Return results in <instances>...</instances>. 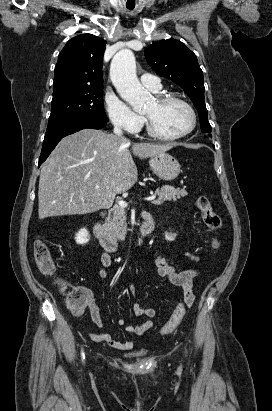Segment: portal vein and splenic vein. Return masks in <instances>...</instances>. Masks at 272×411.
<instances>
[{
	"label": "portal vein and splenic vein",
	"mask_w": 272,
	"mask_h": 411,
	"mask_svg": "<svg viewBox=\"0 0 272 411\" xmlns=\"http://www.w3.org/2000/svg\"><path fill=\"white\" fill-rule=\"evenodd\" d=\"M96 188H99V187L96 186ZM155 198H156V195H152V196L146 197V198H144V199H145L146 201H153ZM118 205H119L120 207H122V208H126V207L128 206V203L125 202V201H123V200H120V201L118 202Z\"/></svg>",
	"instance_id": "obj_1"
}]
</instances>
